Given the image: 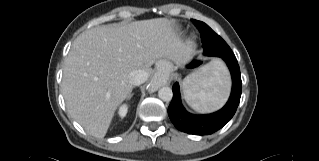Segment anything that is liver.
<instances>
[{
    "instance_id": "liver-1",
    "label": "liver",
    "mask_w": 319,
    "mask_h": 161,
    "mask_svg": "<svg viewBox=\"0 0 319 161\" xmlns=\"http://www.w3.org/2000/svg\"><path fill=\"white\" fill-rule=\"evenodd\" d=\"M188 50L173 20L155 18L102 25L80 34L65 59L62 92L68 113L89 134L106 135L117 107L128 97L134 70L152 73L161 58Z\"/></svg>"
}]
</instances>
